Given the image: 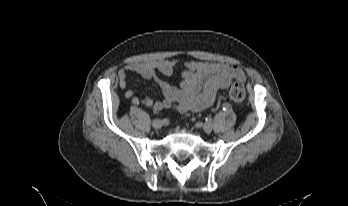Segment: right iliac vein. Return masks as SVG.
I'll list each match as a JSON object with an SVG mask.
<instances>
[{
	"instance_id": "63e3f726",
	"label": "right iliac vein",
	"mask_w": 348,
	"mask_h": 206,
	"mask_svg": "<svg viewBox=\"0 0 348 206\" xmlns=\"http://www.w3.org/2000/svg\"><path fill=\"white\" fill-rule=\"evenodd\" d=\"M162 121L161 120H159V119H154L153 121H152V126H153V128H155V129H160L161 127H162Z\"/></svg>"
}]
</instances>
